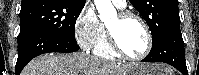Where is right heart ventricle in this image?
Segmentation results:
<instances>
[{"mask_svg":"<svg viewBox=\"0 0 199 75\" xmlns=\"http://www.w3.org/2000/svg\"><path fill=\"white\" fill-rule=\"evenodd\" d=\"M94 53L97 56L105 59H114L118 57L117 54L114 52V50L111 48L109 41L105 35V31L102 39L100 40L98 45L94 48Z\"/></svg>","mask_w":199,"mask_h":75,"instance_id":"obj_1","label":"right heart ventricle"}]
</instances>
